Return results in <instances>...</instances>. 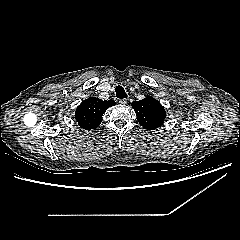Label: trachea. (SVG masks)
<instances>
[{
    "mask_svg": "<svg viewBox=\"0 0 240 240\" xmlns=\"http://www.w3.org/2000/svg\"><path fill=\"white\" fill-rule=\"evenodd\" d=\"M115 92H116V97L117 98H120V99H123V98H126L127 97V94L125 92V89L124 87H122L121 85H118L115 89Z\"/></svg>",
    "mask_w": 240,
    "mask_h": 240,
    "instance_id": "trachea-1",
    "label": "trachea"
}]
</instances>
